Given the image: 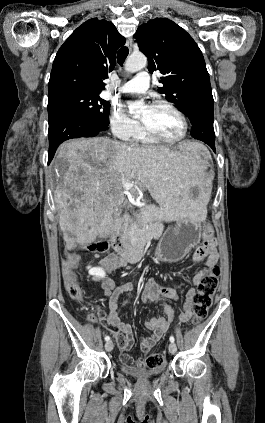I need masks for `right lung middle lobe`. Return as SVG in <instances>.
Segmentation results:
<instances>
[{
	"instance_id": "right-lung-middle-lobe-1",
	"label": "right lung middle lobe",
	"mask_w": 265,
	"mask_h": 423,
	"mask_svg": "<svg viewBox=\"0 0 265 423\" xmlns=\"http://www.w3.org/2000/svg\"><path fill=\"white\" fill-rule=\"evenodd\" d=\"M59 109L79 111L108 126L110 103L99 94L84 91H67L48 97V113Z\"/></svg>"
}]
</instances>
